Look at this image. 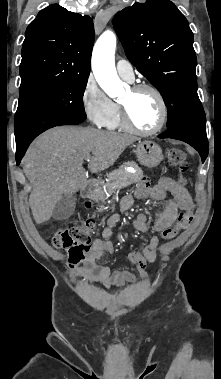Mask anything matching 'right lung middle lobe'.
Segmentation results:
<instances>
[{
	"mask_svg": "<svg viewBox=\"0 0 221 379\" xmlns=\"http://www.w3.org/2000/svg\"><path fill=\"white\" fill-rule=\"evenodd\" d=\"M86 78L60 79L20 89L15 114L16 143L33 140L40 133L66 121L83 122Z\"/></svg>",
	"mask_w": 221,
	"mask_h": 379,
	"instance_id": "1",
	"label": "right lung middle lobe"
}]
</instances>
